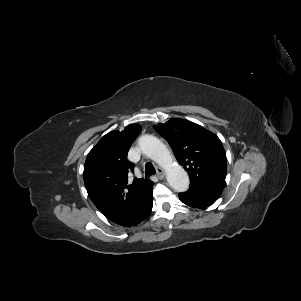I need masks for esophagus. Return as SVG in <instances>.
<instances>
[{"label": "esophagus", "instance_id": "34e87169", "mask_svg": "<svg viewBox=\"0 0 301 301\" xmlns=\"http://www.w3.org/2000/svg\"><path fill=\"white\" fill-rule=\"evenodd\" d=\"M157 176L159 178H163L164 177V170L162 168H158L157 169Z\"/></svg>", "mask_w": 301, "mask_h": 301}]
</instances>
